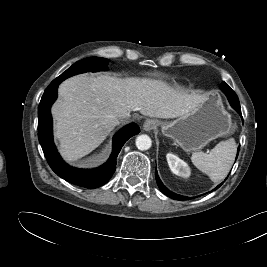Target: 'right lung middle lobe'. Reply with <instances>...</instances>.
<instances>
[{
	"label": "right lung middle lobe",
	"instance_id": "1",
	"mask_svg": "<svg viewBox=\"0 0 267 267\" xmlns=\"http://www.w3.org/2000/svg\"><path fill=\"white\" fill-rule=\"evenodd\" d=\"M108 60L106 58L100 57H90L80 60L73 64L69 69H67L64 73H62L55 80L63 81L66 78L76 75L78 73H84L87 71H104L107 69Z\"/></svg>",
	"mask_w": 267,
	"mask_h": 267
}]
</instances>
